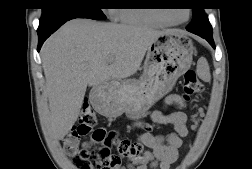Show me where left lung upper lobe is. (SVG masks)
I'll return each instance as SVG.
<instances>
[{
    "label": "left lung upper lobe",
    "instance_id": "1",
    "mask_svg": "<svg viewBox=\"0 0 252 169\" xmlns=\"http://www.w3.org/2000/svg\"><path fill=\"white\" fill-rule=\"evenodd\" d=\"M201 1V0H196ZM193 19L191 23L187 26L189 31H201L208 35H212V27L208 20L207 15L204 12V8L197 6L192 9Z\"/></svg>",
    "mask_w": 252,
    "mask_h": 169
}]
</instances>
